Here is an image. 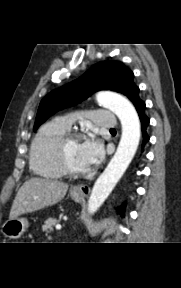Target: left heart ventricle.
<instances>
[{
    "label": "left heart ventricle",
    "mask_w": 181,
    "mask_h": 288,
    "mask_svg": "<svg viewBox=\"0 0 181 288\" xmlns=\"http://www.w3.org/2000/svg\"><path fill=\"white\" fill-rule=\"evenodd\" d=\"M80 144L81 143L79 140H73L69 142L66 146V157L72 168L75 170L83 171L88 167L85 165L81 157Z\"/></svg>",
    "instance_id": "left-heart-ventricle-1"
}]
</instances>
